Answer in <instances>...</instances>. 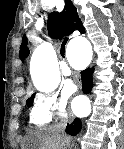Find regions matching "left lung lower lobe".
Instances as JSON below:
<instances>
[{"label": "left lung lower lobe", "instance_id": "1", "mask_svg": "<svg viewBox=\"0 0 124 149\" xmlns=\"http://www.w3.org/2000/svg\"><path fill=\"white\" fill-rule=\"evenodd\" d=\"M94 72L93 68H88L81 72L82 75V90L83 93L88 94L90 93L92 86H93V79L92 74Z\"/></svg>", "mask_w": 124, "mask_h": 149}]
</instances>
